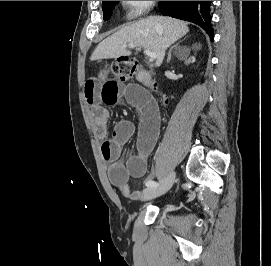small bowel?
Returning <instances> with one entry per match:
<instances>
[{
    "label": "small bowel",
    "instance_id": "small-bowel-1",
    "mask_svg": "<svg viewBox=\"0 0 271 266\" xmlns=\"http://www.w3.org/2000/svg\"><path fill=\"white\" fill-rule=\"evenodd\" d=\"M84 94L91 107L96 134L104 139L101 151L104 159L111 163L109 168L111 183L126 198L142 199L143 192L133 190L129 185V179L142 177L146 173L147 156L158 139L160 115L155 102L137 85L124 83L103 71L86 81ZM121 100H125L138 110L139 125L136 127L129 120H120L116 123L111 137L107 138L109 113L105 106L116 105ZM134 135L137 136V152L123 162L119 159L122 148Z\"/></svg>",
    "mask_w": 271,
    "mask_h": 266
}]
</instances>
